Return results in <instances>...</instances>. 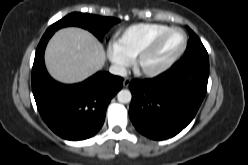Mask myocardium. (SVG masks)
<instances>
[{"mask_svg": "<svg viewBox=\"0 0 248 165\" xmlns=\"http://www.w3.org/2000/svg\"><path fill=\"white\" fill-rule=\"evenodd\" d=\"M174 31L180 32L183 36V42L179 50L161 65L156 66V67H151V68L146 67L144 64L146 57L155 49L157 44L161 41V39L164 36ZM187 44H188V37L183 29L179 27H168L164 29L163 31L157 33L141 49V51L135 57L134 67L139 74L147 76V77H155V76L161 75L167 70H169L182 57V55L185 53L187 49Z\"/></svg>", "mask_w": 248, "mask_h": 165, "instance_id": "f54148a6", "label": "myocardium"}]
</instances>
